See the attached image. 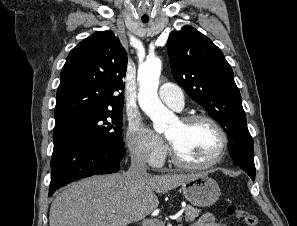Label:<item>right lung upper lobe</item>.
I'll return each instance as SVG.
<instances>
[{"label":"right lung upper lobe","instance_id":"1","mask_svg":"<svg viewBox=\"0 0 297 226\" xmlns=\"http://www.w3.org/2000/svg\"><path fill=\"white\" fill-rule=\"evenodd\" d=\"M127 53L111 31H98L69 53L60 74L55 120L83 111L123 109Z\"/></svg>","mask_w":297,"mask_h":226}]
</instances>
